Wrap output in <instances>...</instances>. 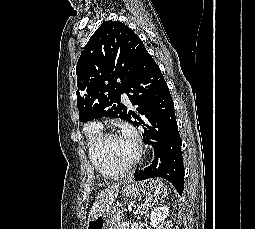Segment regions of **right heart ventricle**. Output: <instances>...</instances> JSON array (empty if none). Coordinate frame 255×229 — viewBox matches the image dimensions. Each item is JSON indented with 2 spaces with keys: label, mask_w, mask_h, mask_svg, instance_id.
Segmentation results:
<instances>
[{
  "label": "right heart ventricle",
  "mask_w": 255,
  "mask_h": 229,
  "mask_svg": "<svg viewBox=\"0 0 255 229\" xmlns=\"http://www.w3.org/2000/svg\"><path fill=\"white\" fill-rule=\"evenodd\" d=\"M87 154L91 164L99 174L107 178H113L122 173L120 170L112 168L97 151V143L103 134L102 128L96 123H89L85 129Z\"/></svg>",
  "instance_id": "obj_1"
}]
</instances>
